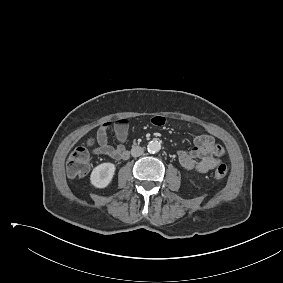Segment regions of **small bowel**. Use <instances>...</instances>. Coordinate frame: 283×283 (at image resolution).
Listing matches in <instances>:
<instances>
[{
	"label": "small bowel",
	"instance_id": "small-bowel-1",
	"mask_svg": "<svg viewBox=\"0 0 283 283\" xmlns=\"http://www.w3.org/2000/svg\"><path fill=\"white\" fill-rule=\"evenodd\" d=\"M152 123L161 126L165 119L155 116L151 119ZM113 131L118 140L117 146L108 143V132ZM128 137V123L125 120L103 123L96 132L95 140L97 147L93 150L95 155L108 156L116 160L127 159L129 156L125 142ZM224 148L217 144L214 138L208 134L197 135L194 139L193 149L178 152V160L181 166L187 170H195L206 173L221 163L224 155Z\"/></svg>",
	"mask_w": 283,
	"mask_h": 283
}]
</instances>
